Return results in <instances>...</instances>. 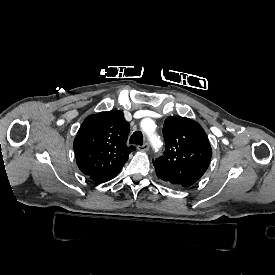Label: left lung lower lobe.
<instances>
[{
  "instance_id": "left-lung-lower-lobe-1",
  "label": "left lung lower lobe",
  "mask_w": 275,
  "mask_h": 275,
  "mask_svg": "<svg viewBox=\"0 0 275 275\" xmlns=\"http://www.w3.org/2000/svg\"><path fill=\"white\" fill-rule=\"evenodd\" d=\"M154 167H155L156 175L159 179L163 180L164 182H166L167 184H169L173 187H181L173 177H171L169 174H167L159 166L154 164Z\"/></svg>"
}]
</instances>
